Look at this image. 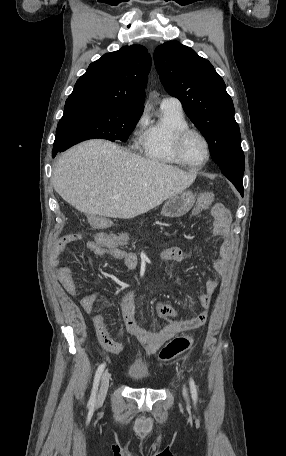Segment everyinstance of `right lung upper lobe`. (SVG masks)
Masks as SVG:
<instances>
[{"label":"right lung upper lobe","instance_id":"cb5924a9","mask_svg":"<svg viewBox=\"0 0 286 456\" xmlns=\"http://www.w3.org/2000/svg\"><path fill=\"white\" fill-rule=\"evenodd\" d=\"M151 56L142 45L122 47L91 63L66 101L92 100L144 109V87Z\"/></svg>","mask_w":286,"mask_h":456}]
</instances>
